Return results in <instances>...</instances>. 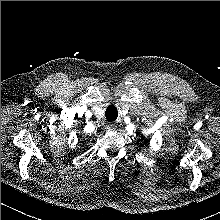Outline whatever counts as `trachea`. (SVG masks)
<instances>
[{"label": "trachea", "mask_w": 220, "mask_h": 220, "mask_svg": "<svg viewBox=\"0 0 220 220\" xmlns=\"http://www.w3.org/2000/svg\"><path fill=\"white\" fill-rule=\"evenodd\" d=\"M105 115L108 121H115L118 116V111L114 106H110L107 108Z\"/></svg>", "instance_id": "3493384b"}]
</instances>
